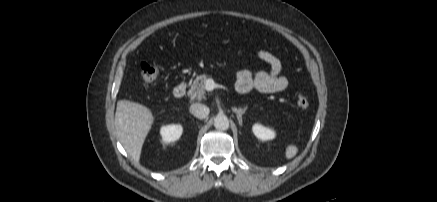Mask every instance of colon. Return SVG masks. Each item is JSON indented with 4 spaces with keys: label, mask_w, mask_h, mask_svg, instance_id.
I'll list each match as a JSON object with an SVG mask.
<instances>
[{
    "label": "colon",
    "mask_w": 437,
    "mask_h": 202,
    "mask_svg": "<svg viewBox=\"0 0 437 202\" xmlns=\"http://www.w3.org/2000/svg\"><path fill=\"white\" fill-rule=\"evenodd\" d=\"M158 77V69L148 63L141 65V79L145 86L151 85ZM296 107L300 110H305L309 106V100L304 95L298 96L296 100Z\"/></svg>",
    "instance_id": "obj_1"
}]
</instances>
